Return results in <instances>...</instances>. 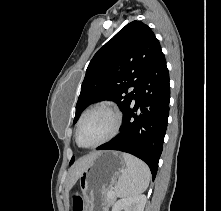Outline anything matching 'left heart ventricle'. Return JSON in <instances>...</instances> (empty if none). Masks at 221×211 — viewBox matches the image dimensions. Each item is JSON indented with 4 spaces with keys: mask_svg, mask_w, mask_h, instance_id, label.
Instances as JSON below:
<instances>
[{
    "mask_svg": "<svg viewBox=\"0 0 221 211\" xmlns=\"http://www.w3.org/2000/svg\"><path fill=\"white\" fill-rule=\"evenodd\" d=\"M113 117L105 110L88 114L80 128L79 141L82 145H92L105 138L113 127Z\"/></svg>",
    "mask_w": 221,
    "mask_h": 211,
    "instance_id": "b2bd125f",
    "label": "left heart ventricle"
}]
</instances>
